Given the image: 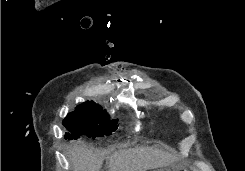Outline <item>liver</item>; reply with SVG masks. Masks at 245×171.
<instances>
[{
    "instance_id": "6515ba94",
    "label": "liver",
    "mask_w": 245,
    "mask_h": 171,
    "mask_svg": "<svg viewBox=\"0 0 245 171\" xmlns=\"http://www.w3.org/2000/svg\"><path fill=\"white\" fill-rule=\"evenodd\" d=\"M73 171H99L103 156L77 142L68 154ZM177 157L162 150L149 147H136L113 153L109 158V171H147L166 167Z\"/></svg>"
}]
</instances>
